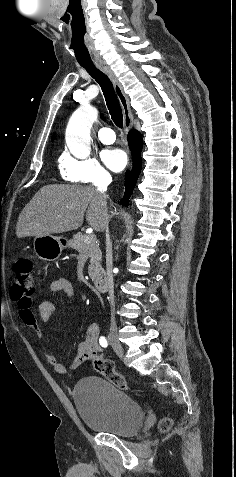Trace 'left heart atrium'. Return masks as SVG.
<instances>
[{"label":"left heart atrium","instance_id":"obj_1","mask_svg":"<svg viewBox=\"0 0 236 477\" xmlns=\"http://www.w3.org/2000/svg\"><path fill=\"white\" fill-rule=\"evenodd\" d=\"M102 157L105 164L115 172L121 171L126 166L128 160L126 152L119 148L105 150Z\"/></svg>","mask_w":236,"mask_h":477}]
</instances>
